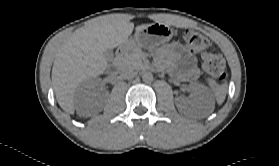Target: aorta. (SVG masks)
<instances>
[{"label": "aorta", "mask_w": 279, "mask_h": 166, "mask_svg": "<svg viewBox=\"0 0 279 166\" xmlns=\"http://www.w3.org/2000/svg\"><path fill=\"white\" fill-rule=\"evenodd\" d=\"M142 80L145 83H150L153 81V74L150 71H146L142 74Z\"/></svg>", "instance_id": "obj_1"}]
</instances>
